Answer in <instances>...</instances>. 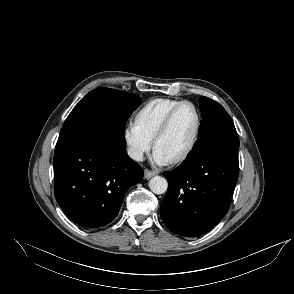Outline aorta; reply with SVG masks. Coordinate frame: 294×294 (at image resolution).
<instances>
[{
    "mask_svg": "<svg viewBox=\"0 0 294 294\" xmlns=\"http://www.w3.org/2000/svg\"><path fill=\"white\" fill-rule=\"evenodd\" d=\"M149 188L155 194H163L167 191L168 182L164 177L155 176L150 179Z\"/></svg>",
    "mask_w": 294,
    "mask_h": 294,
    "instance_id": "obj_1",
    "label": "aorta"
}]
</instances>
